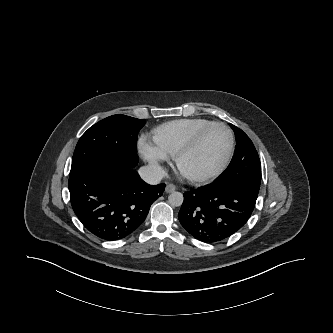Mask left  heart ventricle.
<instances>
[{"label": "left heart ventricle", "instance_id": "left-heart-ventricle-1", "mask_svg": "<svg viewBox=\"0 0 333 333\" xmlns=\"http://www.w3.org/2000/svg\"><path fill=\"white\" fill-rule=\"evenodd\" d=\"M229 149V138L220 127L213 128L200 144L180 161L183 172L206 175L215 171L224 161Z\"/></svg>", "mask_w": 333, "mask_h": 333}]
</instances>
